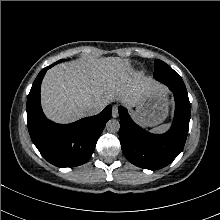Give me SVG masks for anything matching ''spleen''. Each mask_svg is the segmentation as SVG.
Listing matches in <instances>:
<instances>
[{
	"instance_id": "3e777b00",
	"label": "spleen",
	"mask_w": 220,
	"mask_h": 220,
	"mask_svg": "<svg viewBox=\"0 0 220 220\" xmlns=\"http://www.w3.org/2000/svg\"><path fill=\"white\" fill-rule=\"evenodd\" d=\"M168 127H169V124H164V125H161V126L155 128L154 131H156V132H164V131H166L168 129Z\"/></svg>"
}]
</instances>
